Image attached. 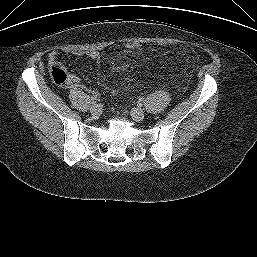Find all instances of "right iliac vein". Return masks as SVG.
<instances>
[{
	"instance_id": "63e3f726",
	"label": "right iliac vein",
	"mask_w": 257,
	"mask_h": 257,
	"mask_svg": "<svg viewBox=\"0 0 257 257\" xmlns=\"http://www.w3.org/2000/svg\"><path fill=\"white\" fill-rule=\"evenodd\" d=\"M90 112L94 116H99L102 112L100 105H98V104L91 105Z\"/></svg>"
}]
</instances>
